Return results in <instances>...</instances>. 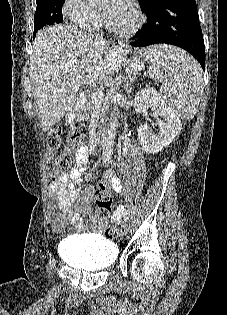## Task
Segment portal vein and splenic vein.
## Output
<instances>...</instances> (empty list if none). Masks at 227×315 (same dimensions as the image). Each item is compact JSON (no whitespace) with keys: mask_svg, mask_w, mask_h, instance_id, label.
<instances>
[{"mask_svg":"<svg viewBox=\"0 0 227 315\" xmlns=\"http://www.w3.org/2000/svg\"><path fill=\"white\" fill-rule=\"evenodd\" d=\"M139 69H140V68H139ZM97 79H98V78L90 77V78H89V84H93V85H94ZM94 95H95V97L98 98L100 101H101V100L103 99V97H104V94H103V92H102L101 90H97Z\"/></svg>","mask_w":227,"mask_h":315,"instance_id":"1","label":"portal vein and splenic vein"}]
</instances>
